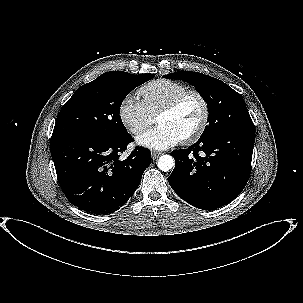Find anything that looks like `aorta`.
Returning <instances> with one entry per match:
<instances>
[{"label": "aorta", "instance_id": "aorta-1", "mask_svg": "<svg viewBox=\"0 0 303 303\" xmlns=\"http://www.w3.org/2000/svg\"><path fill=\"white\" fill-rule=\"evenodd\" d=\"M175 164L174 158L170 155H162L157 163L160 170L167 172L173 168Z\"/></svg>", "mask_w": 303, "mask_h": 303}]
</instances>
